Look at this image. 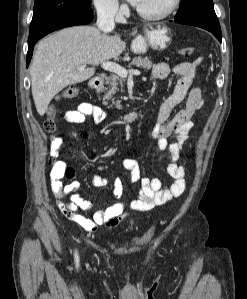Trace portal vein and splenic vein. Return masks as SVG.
Wrapping results in <instances>:
<instances>
[{"mask_svg": "<svg viewBox=\"0 0 247 299\" xmlns=\"http://www.w3.org/2000/svg\"><path fill=\"white\" fill-rule=\"evenodd\" d=\"M85 66L81 67L83 69ZM102 68L106 71H110L113 73H116L122 78H126L128 73L132 75H140L141 72L138 70H129L127 71L125 68L120 66L119 64L113 63V62H103L102 63Z\"/></svg>", "mask_w": 247, "mask_h": 299, "instance_id": "18ae733b", "label": "portal vein and splenic vein"}]
</instances>
